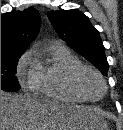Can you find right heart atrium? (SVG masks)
<instances>
[{
	"mask_svg": "<svg viewBox=\"0 0 123 130\" xmlns=\"http://www.w3.org/2000/svg\"><path fill=\"white\" fill-rule=\"evenodd\" d=\"M35 53L28 50L19 60L17 66V75L21 82L28 80L29 84L35 74Z\"/></svg>",
	"mask_w": 123,
	"mask_h": 130,
	"instance_id": "d8ad5b80",
	"label": "right heart atrium"
}]
</instances>
